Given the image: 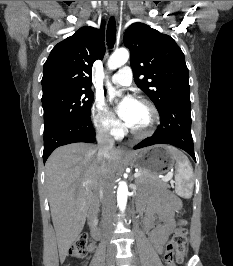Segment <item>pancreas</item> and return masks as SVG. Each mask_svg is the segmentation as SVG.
<instances>
[{
  "mask_svg": "<svg viewBox=\"0 0 233 266\" xmlns=\"http://www.w3.org/2000/svg\"><path fill=\"white\" fill-rule=\"evenodd\" d=\"M141 175L137 177L136 184L138 186L144 185H166V182L159 179L157 175L149 173L147 171L140 170Z\"/></svg>",
  "mask_w": 233,
  "mask_h": 266,
  "instance_id": "cf45deb5",
  "label": "pancreas"
}]
</instances>
